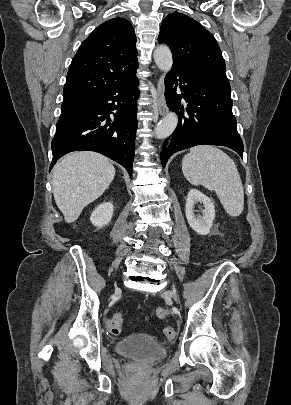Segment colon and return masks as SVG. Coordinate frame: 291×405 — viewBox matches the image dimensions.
Listing matches in <instances>:
<instances>
[{"label":"colon","mask_w":291,"mask_h":405,"mask_svg":"<svg viewBox=\"0 0 291 405\" xmlns=\"http://www.w3.org/2000/svg\"><path fill=\"white\" fill-rule=\"evenodd\" d=\"M156 314L159 318H166L168 316L167 310L161 307L157 308ZM122 325L123 315L120 312L110 317L107 322L108 329L113 335H118L121 332ZM163 334L167 340L171 341L175 339L177 333L173 327L167 326L163 329Z\"/></svg>","instance_id":"5ec220e1"}]
</instances>
